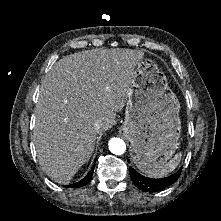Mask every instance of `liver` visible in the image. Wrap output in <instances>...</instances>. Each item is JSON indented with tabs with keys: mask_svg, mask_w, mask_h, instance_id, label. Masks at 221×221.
Segmentation results:
<instances>
[{
	"mask_svg": "<svg viewBox=\"0 0 221 221\" xmlns=\"http://www.w3.org/2000/svg\"><path fill=\"white\" fill-rule=\"evenodd\" d=\"M143 51L95 49L57 61L42 80L33 141L43 171L67 184L91 157L97 135L116 124ZM102 123L94 129L95 122Z\"/></svg>",
	"mask_w": 221,
	"mask_h": 221,
	"instance_id": "1",
	"label": "liver"
}]
</instances>
